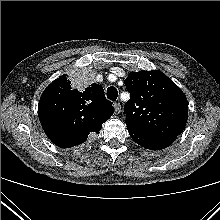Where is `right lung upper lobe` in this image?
I'll return each instance as SVG.
<instances>
[{
	"mask_svg": "<svg viewBox=\"0 0 220 220\" xmlns=\"http://www.w3.org/2000/svg\"><path fill=\"white\" fill-rule=\"evenodd\" d=\"M38 115L48 138L58 147L68 148L86 141L100 130L114 112L103 88L93 83L77 90L67 74L55 79L42 93Z\"/></svg>",
	"mask_w": 220,
	"mask_h": 220,
	"instance_id": "cb5924a9",
	"label": "right lung upper lobe"
}]
</instances>
